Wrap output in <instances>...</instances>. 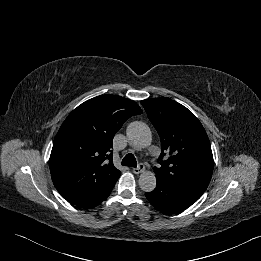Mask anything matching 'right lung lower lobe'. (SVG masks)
Returning <instances> with one entry per match:
<instances>
[{"label": "right lung lower lobe", "mask_w": 261, "mask_h": 261, "mask_svg": "<svg viewBox=\"0 0 261 261\" xmlns=\"http://www.w3.org/2000/svg\"><path fill=\"white\" fill-rule=\"evenodd\" d=\"M114 185H112L110 188H108L102 194H100V195H98V196H96V197H94V198H92L90 200L77 203L75 205H77L79 207H84V208H91V207H94V206L98 205L99 203H101L103 200H105L109 196V194L111 193Z\"/></svg>", "instance_id": "obj_1"}]
</instances>
